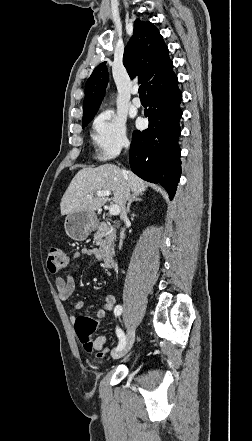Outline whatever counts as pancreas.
Instances as JSON below:
<instances>
[{"instance_id": "obj_1", "label": "pancreas", "mask_w": 252, "mask_h": 441, "mask_svg": "<svg viewBox=\"0 0 252 441\" xmlns=\"http://www.w3.org/2000/svg\"><path fill=\"white\" fill-rule=\"evenodd\" d=\"M116 239V232L113 230L109 223L101 222L98 226V230L94 235V240H96L100 246L99 248V259H105L114 248V240Z\"/></svg>"}]
</instances>
